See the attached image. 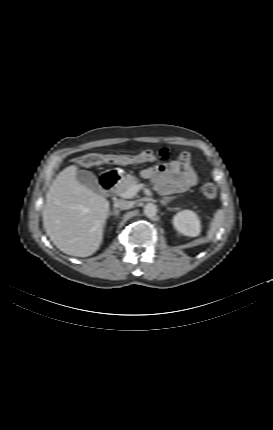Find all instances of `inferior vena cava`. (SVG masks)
Listing matches in <instances>:
<instances>
[{"label":"inferior vena cava","mask_w":273,"mask_h":430,"mask_svg":"<svg viewBox=\"0 0 273 430\" xmlns=\"http://www.w3.org/2000/svg\"><path fill=\"white\" fill-rule=\"evenodd\" d=\"M133 203L130 201H118L114 204L115 208H119L121 210H127L132 208Z\"/></svg>","instance_id":"1"}]
</instances>
